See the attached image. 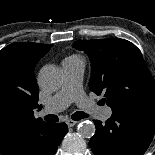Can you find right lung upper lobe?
<instances>
[{"mask_svg": "<svg viewBox=\"0 0 155 155\" xmlns=\"http://www.w3.org/2000/svg\"><path fill=\"white\" fill-rule=\"evenodd\" d=\"M51 45L17 42L0 51V154L36 155L52 124L34 117L39 89L36 63Z\"/></svg>", "mask_w": 155, "mask_h": 155, "instance_id": "1", "label": "right lung upper lobe"}]
</instances>
